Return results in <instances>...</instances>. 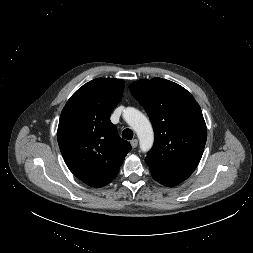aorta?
Here are the masks:
<instances>
[{"label": "aorta", "mask_w": 253, "mask_h": 253, "mask_svg": "<svg viewBox=\"0 0 253 253\" xmlns=\"http://www.w3.org/2000/svg\"><path fill=\"white\" fill-rule=\"evenodd\" d=\"M124 119L128 125L136 132L140 150L142 152L149 151L154 142V132L148 118L139 110L128 107L124 110Z\"/></svg>", "instance_id": "obj_1"}]
</instances>
